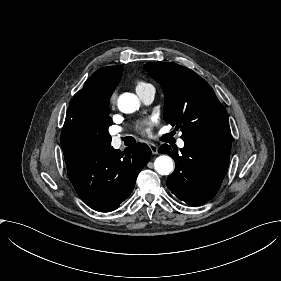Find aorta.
Wrapping results in <instances>:
<instances>
[{"label": "aorta", "instance_id": "obj_1", "mask_svg": "<svg viewBox=\"0 0 281 281\" xmlns=\"http://www.w3.org/2000/svg\"><path fill=\"white\" fill-rule=\"evenodd\" d=\"M119 110L123 113L130 114L140 107V101L135 94L123 93L117 101ZM154 169L160 175H169L174 170V161L168 155H160L154 161Z\"/></svg>", "mask_w": 281, "mask_h": 281}]
</instances>
